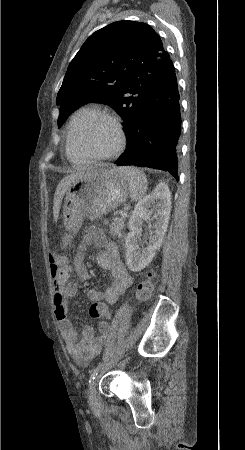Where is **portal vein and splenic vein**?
I'll use <instances>...</instances> for the list:
<instances>
[{
  "label": "portal vein and splenic vein",
  "instance_id": "portal-vein-and-splenic-vein-1",
  "mask_svg": "<svg viewBox=\"0 0 245 450\" xmlns=\"http://www.w3.org/2000/svg\"><path fill=\"white\" fill-rule=\"evenodd\" d=\"M120 214H121L123 217H127V215H128L127 212H125V211H121Z\"/></svg>",
  "mask_w": 245,
  "mask_h": 450
}]
</instances>
